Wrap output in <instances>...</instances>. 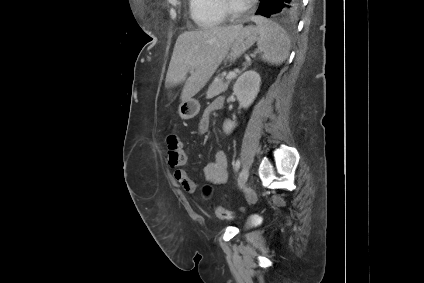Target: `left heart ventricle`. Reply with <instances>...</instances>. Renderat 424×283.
<instances>
[{
	"label": "left heart ventricle",
	"mask_w": 424,
	"mask_h": 283,
	"mask_svg": "<svg viewBox=\"0 0 424 283\" xmlns=\"http://www.w3.org/2000/svg\"><path fill=\"white\" fill-rule=\"evenodd\" d=\"M229 2L236 9H240L245 5L242 2H240L239 0H229Z\"/></svg>",
	"instance_id": "left-heart-ventricle-1"
}]
</instances>
